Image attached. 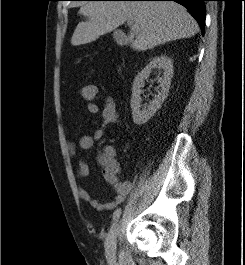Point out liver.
Wrapping results in <instances>:
<instances>
[{
  "label": "liver",
  "mask_w": 245,
  "mask_h": 265,
  "mask_svg": "<svg viewBox=\"0 0 245 265\" xmlns=\"http://www.w3.org/2000/svg\"><path fill=\"white\" fill-rule=\"evenodd\" d=\"M73 46L97 40L126 21L133 22L127 40L131 48L146 51L173 40L194 36L199 27L185 7L172 1H90L81 5Z\"/></svg>",
  "instance_id": "liver-1"
}]
</instances>
